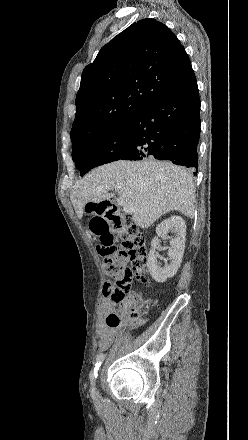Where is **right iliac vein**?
Wrapping results in <instances>:
<instances>
[{
    "instance_id": "right-iliac-vein-1",
    "label": "right iliac vein",
    "mask_w": 248,
    "mask_h": 440,
    "mask_svg": "<svg viewBox=\"0 0 248 440\" xmlns=\"http://www.w3.org/2000/svg\"><path fill=\"white\" fill-rule=\"evenodd\" d=\"M92 390H93V392L95 393V388H94V387L92 388Z\"/></svg>"
}]
</instances>
